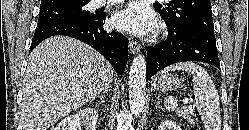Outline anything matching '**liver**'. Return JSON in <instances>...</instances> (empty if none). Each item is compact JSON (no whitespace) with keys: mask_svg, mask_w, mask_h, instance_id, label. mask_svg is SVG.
Instances as JSON below:
<instances>
[{"mask_svg":"<svg viewBox=\"0 0 249 130\" xmlns=\"http://www.w3.org/2000/svg\"><path fill=\"white\" fill-rule=\"evenodd\" d=\"M113 76L110 63L83 42L65 36L41 42L24 76L23 130H48L106 90Z\"/></svg>","mask_w":249,"mask_h":130,"instance_id":"liver-1","label":"liver"}]
</instances>
